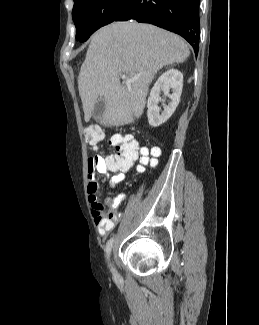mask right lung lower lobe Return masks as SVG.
<instances>
[{
	"label": "right lung lower lobe",
	"instance_id": "right-lung-lower-lobe-1",
	"mask_svg": "<svg viewBox=\"0 0 259 325\" xmlns=\"http://www.w3.org/2000/svg\"><path fill=\"white\" fill-rule=\"evenodd\" d=\"M200 0H127L113 21L134 19L184 37L198 53Z\"/></svg>",
	"mask_w": 259,
	"mask_h": 325
}]
</instances>
